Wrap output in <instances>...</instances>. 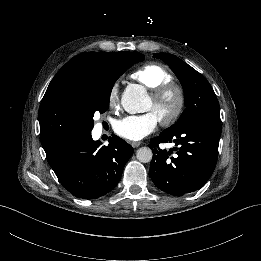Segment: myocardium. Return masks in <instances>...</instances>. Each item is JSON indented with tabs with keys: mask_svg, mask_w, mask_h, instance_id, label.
I'll use <instances>...</instances> for the list:
<instances>
[{
	"mask_svg": "<svg viewBox=\"0 0 261 261\" xmlns=\"http://www.w3.org/2000/svg\"><path fill=\"white\" fill-rule=\"evenodd\" d=\"M171 96L175 98L174 108L170 113L158 117L160 123L164 126L173 124L182 114L185 107L184 90L180 85L174 82H168L160 85L150 94V100L154 107H157L165 98Z\"/></svg>",
	"mask_w": 261,
	"mask_h": 261,
	"instance_id": "f54148a6",
	"label": "myocardium"
}]
</instances>
